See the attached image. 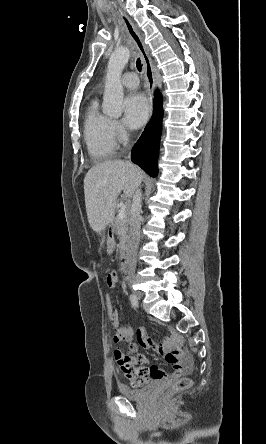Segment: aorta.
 <instances>
[{
	"label": "aorta",
	"mask_w": 266,
	"mask_h": 444,
	"mask_svg": "<svg viewBox=\"0 0 266 444\" xmlns=\"http://www.w3.org/2000/svg\"><path fill=\"white\" fill-rule=\"evenodd\" d=\"M129 57V49L121 47L109 58L102 108L105 114L112 117H119L122 114L123 87L120 78Z\"/></svg>",
	"instance_id": "obj_1"
}]
</instances>
